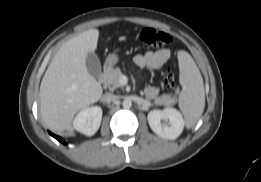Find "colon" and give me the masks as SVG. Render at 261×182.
<instances>
[{"label":"colon","mask_w":261,"mask_h":182,"mask_svg":"<svg viewBox=\"0 0 261 182\" xmlns=\"http://www.w3.org/2000/svg\"><path fill=\"white\" fill-rule=\"evenodd\" d=\"M137 38L141 43L152 48L167 46L171 43L172 40L169 34L153 28L142 29L138 33ZM164 84L168 89H172L175 86V79L169 67L166 69Z\"/></svg>","instance_id":"obj_1"}]
</instances>
